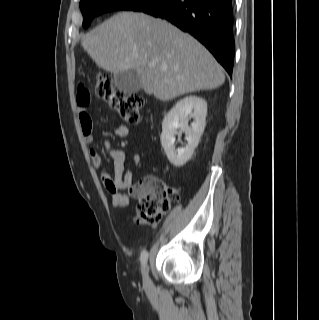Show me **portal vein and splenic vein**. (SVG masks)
<instances>
[{"mask_svg":"<svg viewBox=\"0 0 319 320\" xmlns=\"http://www.w3.org/2000/svg\"><path fill=\"white\" fill-rule=\"evenodd\" d=\"M148 66H149L150 68H153V67L155 66V64H154V62H149V63H148Z\"/></svg>","mask_w":319,"mask_h":320,"instance_id":"1","label":"portal vein and splenic vein"}]
</instances>
